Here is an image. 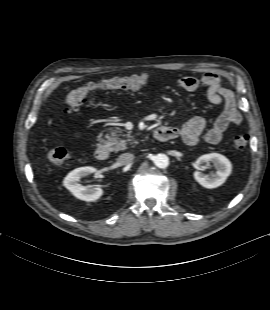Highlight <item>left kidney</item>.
<instances>
[{
    "instance_id": "1",
    "label": "left kidney",
    "mask_w": 270,
    "mask_h": 310,
    "mask_svg": "<svg viewBox=\"0 0 270 310\" xmlns=\"http://www.w3.org/2000/svg\"><path fill=\"white\" fill-rule=\"evenodd\" d=\"M212 163L216 169L215 173L204 174L200 170L205 164ZM195 180L205 188L212 189L221 186L232 172L231 162L222 154L210 153L200 156L195 162Z\"/></svg>"
}]
</instances>
